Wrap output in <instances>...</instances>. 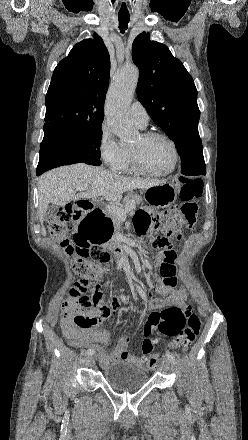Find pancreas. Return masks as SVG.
Here are the masks:
<instances>
[{"instance_id": "obj_1", "label": "pancreas", "mask_w": 248, "mask_h": 440, "mask_svg": "<svg viewBox=\"0 0 248 440\" xmlns=\"http://www.w3.org/2000/svg\"><path fill=\"white\" fill-rule=\"evenodd\" d=\"M141 202H142V198L139 195L133 194V193H129L123 199V204H120L118 207L121 208V209H126L127 205H129L130 203H133V205L135 207V205H138ZM105 213L113 220L116 229L119 230L120 229V219L118 217L112 215L107 210L105 211Z\"/></svg>"}]
</instances>
